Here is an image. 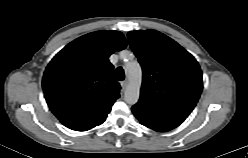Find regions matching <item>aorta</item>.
I'll return each instance as SVG.
<instances>
[{"instance_id": "1", "label": "aorta", "mask_w": 248, "mask_h": 158, "mask_svg": "<svg viewBox=\"0 0 248 158\" xmlns=\"http://www.w3.org/2000/svg\"><path fill=\"white\" fill-rule=\"evenodd\" d=\"M124 70L128 79V85L124 93V100L126 103L133 105L139 100L142 69L137 61H130L125 64Z\"/></svg>"}]
</instances>
